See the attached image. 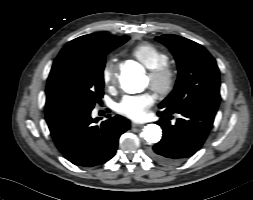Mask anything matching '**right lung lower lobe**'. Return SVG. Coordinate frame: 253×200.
I'll list each match as a JSON object with an SVG mask.
<instances>
[{"label":"right lung lower lobe","mask_w":253,"mask_h":200,"mask_svg":"<svg viewBox=\"0 0 253 200\" xmlns=\"http://www.w3.org/2000/svg\"><path fill=\"white\" fill-rule=\"evenodd\" d=\"M51 136L64 157L77 166L92 167L111 159L119 137L130 128L122 116H115L100 125L90 111L46 113Z\"/></svg>","instance_id":"obj_1"}]
</instances>
